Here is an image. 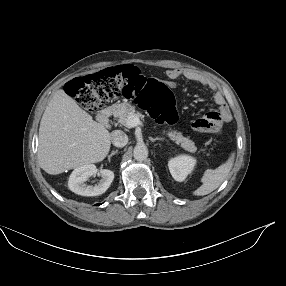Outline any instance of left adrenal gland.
<instances>
[{"mask_svg": "<svg viewBox=\"0 0 286 286\" xmlns=\"http://www.w3.org/2000/svg\"><path fill=\"white\" fill-rule=\"evenodd\" d=\"M149 139H150L152 142H155L156 140H160V141L163 140V138H158V137H156V138L149 137Z\"/></svg>", "mask_w": 286, "mask_h": 286, "instance_id": "1", "label": "left adrenal gland"}]
</instances>
